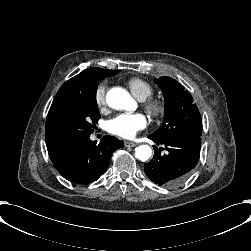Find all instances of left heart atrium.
I'll return each instance as SVG.
<instances>
[{"label": "left heart atrium", "mask_w": 251, "mask_h": 251, "mask_svg": "<svg viewBox=\"0 0 251 251\" xmlns=\"http://www.w3.org/2000/svg\"><path fill=\"white\" fill-rule=\"evenodd\" d=\"M147 118L142 113H122L107 122V130L114 135L130 138L145 128Z\"/></svg>", "instance_id": "left-heart-atrium-1"}]
</instances>
